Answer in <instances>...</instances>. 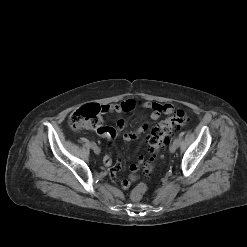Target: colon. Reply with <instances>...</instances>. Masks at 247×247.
Here are the masks:
<instances>
[{
  "label": "colon",
  "instance_id": "5ec220e1",
  "mask_svg": "<svg viewBox=\"0 0 247 247\" xmlns=\"http://www.w3.org/2000/svg\"><path fill=\"white\" fill-rule=\"evenodd\" d=\"M103 112V106L98 104L81 106L71 113L69 118L70 125L75 130H97L102 125L101 114ZM188 120V115L184 111L178 110L173 116L153 128L148 138L150 151L156 153L172 134L180 131L188 123ZM152 170L153 162L150 161L144 166V172L150 174ZM146 191L147 186L144 183L138 184L131 192V199L138 201Z\"/></svg>",
  "mask_w": 247,
  "mask_h": 247
}]
</instances>
